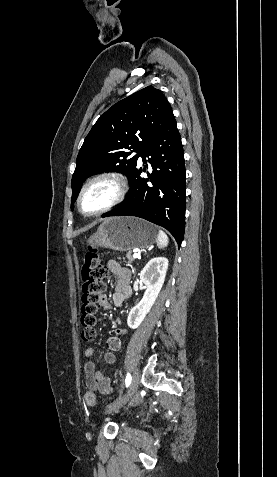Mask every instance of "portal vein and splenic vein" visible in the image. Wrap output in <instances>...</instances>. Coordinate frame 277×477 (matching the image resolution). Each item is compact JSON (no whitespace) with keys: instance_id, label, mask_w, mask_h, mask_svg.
Returning <instances> with one entry per match:
<instances>
[{"instance_id":"18ae733b","label":"portal vein and splenic vein","mask_w":277,"mask_h":477,"mask_svg":"<svg viewBox=\"0 0 277 477\" xmlns=\"http://www.w3.org/2000/svg\"><path fill=\"white\" fill-rule=\"evenodd\" d=\"M133 257H134V258H141L140 255L137 254V253H134V254H133Z\"/></svg>"}]
</instances>
